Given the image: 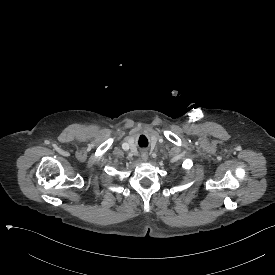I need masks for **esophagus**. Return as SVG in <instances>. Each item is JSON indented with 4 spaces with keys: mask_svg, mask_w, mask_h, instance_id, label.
I'll list each match as a JSON object with an SVG mask.
<instances>
[{
    "mask_svg": "<svg viewBox=\"0 0 275 275\" xmlns=\"http://www.w3.org/2000/svg\"><path fill=\"white\" fill-rule=\"evenodd\" d=\"M142 161L146 162L148 160V153L146 151L141 153Z\"/></svg>",
    "mask_w": 275,
    "mask_h": 275,
    "instance_id": "34e87169",
    "label": "esophagus"
}]
</instances>
